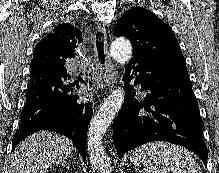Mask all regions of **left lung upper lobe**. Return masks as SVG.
<instances>
[{"instance_id":"left-lung-upper-lobe-1","label":"left lung upper lobe","mask_w":219,"mask_h":173,"mask_svg":"<svg viewBox=\"0 0 219 173\" xmlns=\"http://www.w3.org/2000/svg\"><path fill=\"white\" fill-rule=\"evenodd\" d=\"M115 34L130 39L133 56L147 57L177 71H187L171 28L150 11L132 7L117 22Z\"/></svg>"}]
</instances>
